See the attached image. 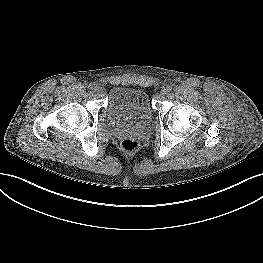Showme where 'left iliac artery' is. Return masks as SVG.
Listing matches in <instances>:
<instances>
[{
    "mask_svg": "<svg viewBox=\"0 0 263 263\" xmlns=\"http://www.w3.org/2000/svg\"><path fill=\"white\" fill-rule=\"evenodd\" d=\"M166 89L168 90V92H170L172 90V87L168 85Z\"/></svg>",
    "mask_w": 263,
    "mask_h": 263,
    "instance_id": "left-iliac-artery-1",
    "label": "left iliac artery"
}]
</instances>
